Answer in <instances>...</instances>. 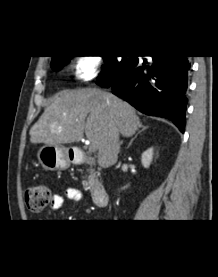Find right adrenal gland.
<instances>
[{"label":"right adrenal gland","instance_id":"obj_1","mask_svg":"<svg viewBox=\"0 0 218 277\" xmlns=\"http://www.w3.org/2000/svg\"><path fill=\"white\" fill-rule=\"evenodd\" d=\"M141 127H142V129L130 140L127 148H129L131 146L132 142L137 138L138 134H140L141 132H143L144 130H146L148 128L147 126L146 127L141 126Z\"/></svg>","mask_w":218,"mask_h":277}]
</instances>
